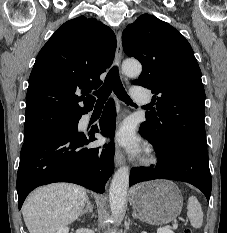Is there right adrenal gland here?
<instances>
[{
    "mask_svg": "<svg viewBox=\"0 0 227 233\" xmlns=\"http://www.w3.org/2000/svg\"><path fill=\"white\" fill-rule=\"evenodd\" d=\"M87 213H90L93 215V205L91 204L89 198H87V205L85 209L81 212V216Z\"/></svg>",
    "mask_w": 227,
    "mask_h": 233,
    "instance_id": "2a0ac1e0",
    "label": "right adrenal gland"
}]
</instances>
